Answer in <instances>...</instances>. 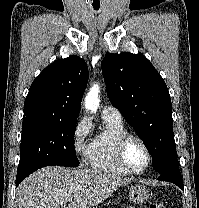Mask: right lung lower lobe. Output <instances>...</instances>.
<instances>
[{"label": "right lung lower lobe", "mask_w": 199, "mask_h": 208, "mask_svg": "<svg viewBox=\"0 0 199 208\" xmlns=\"http://www.w3.org/2000/svg\"><path fill=\"white\" fill-rule=\"evenodd\" d=\"M26 177V175H17L16 177V186Z\"/></svg>", "instance_id": "1"}]
</instances>
